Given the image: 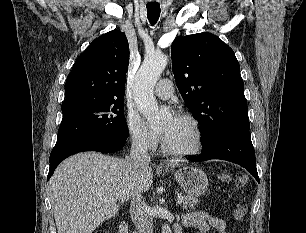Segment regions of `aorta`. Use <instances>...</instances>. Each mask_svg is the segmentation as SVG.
I'll use <instances>...</instances> for the list:
<instances>
[{"label":"aorta","instance_id":"aorta-1","mask_svg":"<svg viewBox=\"0 0 306 233\" xmlns=\"http://www.w3.org/2000/svg\"><path fill=\"white\" fill-rule=\"evenodd\" d=\"M167 64L168 57L162 53L147 56L135 78L134 101L139 111L147 118L151 127L159 125L164 119V113L157 106L153 89ZM161 233H172V231L165 224L162 226Z\"/></svg>","mask_w":306,"mask_h":233}]
</instances>
